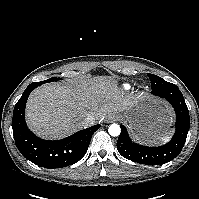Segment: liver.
Listing matches in <instances>:
<instances>
[{
	"label": "liver",
	"mask_w": 199,
	"mask_h": 199,
	"mask_svg": "<svg viewBox=\"0 0 199 199\" xmlns=\"http://www.w3.org/2000/svg\"><path fill=\"white\" fill-rule=\"evenodd\" d=\"M130 105L116 82L107 76L74 79L67 84H47L35 89L27 102L26 118L37 135L59 139L84 128L82 122L87 115L101 121Z\"/></svg>",
	"instance_id": "1"
}]
</instances>
